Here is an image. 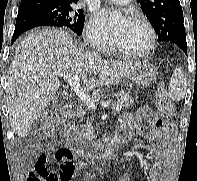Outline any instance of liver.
Listing matches in <instances>:
<instances>
[{"label":"liver","mask_w":197,"mask_h":181,"mask_svg":"<svg viewBox=\"0 0 197 181\" xmlns=\"http://www.w3.org/2000/svg\"><path fill=\"white\" fill-rule=\"evenodd\" d=\"M140 63L102 60L79 49L63 30L44 28L28 34L16 49L7 76L10 126L26 137L60 82L52 73L79 75L86 89L120 83L134 74Z\"/></svg>","instance_id":"obj_1"}]
</instances>
